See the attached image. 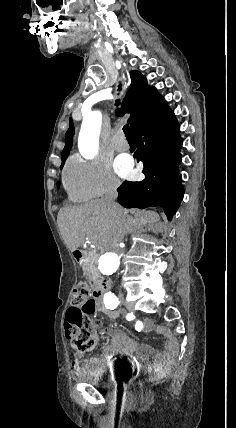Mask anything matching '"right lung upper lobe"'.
<instances>
[{
    "mask_svg": "<svg viewBox=\"0 0 236 428\" xmlns=\"http://www.w3.org/2000/svg\"><path fill=\"white\" fill-rule=\"evenodd\" d=\"M130 77V88L124 98L122 110L117 111V114L120 116L125 113L131 114L128 119V123L133 131L139 124L167 109L168 106L164 98L156 91V89L147 85L146 78L139 71H131ZM73 135L74 127L72 119H70V126L65 135V147L61 156V168L63 167L72 147Z\"/></svg>",
    "mask_w": 236,
    "mask_h": 428,
    "instance_id": "cb5924a9",
    "label": "right lung upper lobe"
}]
</instances>
